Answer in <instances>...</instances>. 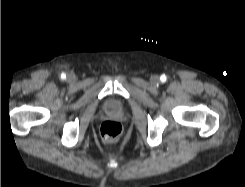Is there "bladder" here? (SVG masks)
Returning <instances> with one entry per match:
<instances>
[{
  "label": "bladder",
  "mask_w": 245,
  "mask_h": 187,
  "mask_svg": "<svg viewBox=\"0 0 245 187\" xmlns=\"http://www.w3.org/2000/svg\"><path fill=\"white\" fill-rule=\"evenodd\" d=\"M105 108L108 112L119 113L123 111V105L114 99H110L106 102Z\"/></svg>",
  "instance_id": "31cf9c89"
}]
</instances>
